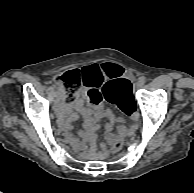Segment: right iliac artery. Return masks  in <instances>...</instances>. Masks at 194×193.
<instances>
[{"label": "right iliac artery", "instance_id": "82829eb1", "mask_svg": "<svg viewBox=\"0 0 194 193\" xmlns=\"http://www.w3.org/2000/svg\"><path fill=\"white\" fill-rule=\"evenodd\" d=\"M61 88V85L58 84V90Z\"/></svg>", "mask_w": 194, "mask_h": 193}]
</instances>
